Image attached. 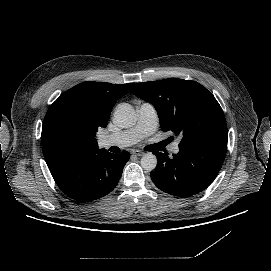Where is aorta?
Segmentation results:
<instances>
[{
  "label": "aorta",
  "mask_w": 271,
  "mask_h": 271,
  "mask_svg": "<svg viewBox=\"0 0 271 271\" xmlns=\"http://www.w3.org/2000/svg\"><path fill=\"white\" fill-rule=\"evenodd\" d=\"M113 121L121 128L134 126L137 122V116L133 106L128 103L119 104L114 112ZM140 163L145 171L150 172L156 168L157 158L148 152L142 156Z\"/></svg>",
  "instance_id": "obj_1"
}]
</instances>
